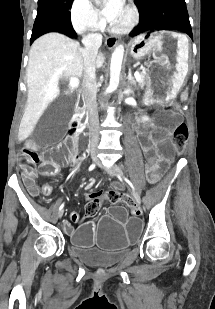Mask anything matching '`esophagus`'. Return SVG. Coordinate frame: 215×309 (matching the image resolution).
I'll use <instances>...</instances> for the list:
<instances>
[{"mask_svg":"<svg viewBox=\"0 0 215 309\" xmlns=\"http://www.w3.org/2000/svg\"><path fill=\"white\" fill-rule=\"evenodd\" d=\"M117 43H118V39L116 37H108L106 39V46L109 49H113Z\"/></svg>","mask_w":215,"mask_h":309,"instance_id":"obj_1","label":"esophagus"}]
</instances>
